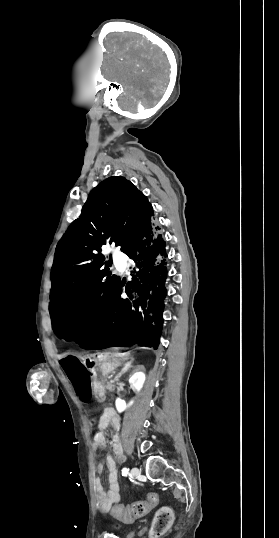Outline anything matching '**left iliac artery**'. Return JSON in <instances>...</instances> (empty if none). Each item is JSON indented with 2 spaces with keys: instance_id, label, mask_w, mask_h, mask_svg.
<instances>
[{
  "instance_id": "1",
  "label": "left iliac artery",
  "mask_w": 279,
  "mask_h": 538,
  "mask_svg": "<svg viewBox=\"0 0 279 538\" xmlns=\"http://www.w3.org/2000/svg\"><path fill=\"white\" fill-rule=\"evenodd\" d=\"M128 473H129V469H128V468H123V469H122V475H123V476H127Z\"/></svg>"
}]
</instances>
